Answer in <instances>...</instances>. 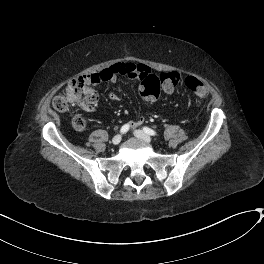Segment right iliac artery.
<instances>
[{
	"instance_id": "right-iliac-artery-1",
	"label": "right iliac artery",
	"mask_w": 264,
	"mask_h": 264,
	"mask_svg": "<svg viewBox=\"0 0 264 264\" xmlns=\"http://www.w3.org/2000/svg\"><path fill=\"white\" fill-rule=\"evenodd\" d=\"M129 128H130L129 124L123 125L120 129V133L122 134L126 133L129 130Z\"/></svg>"
}]
</instances>
